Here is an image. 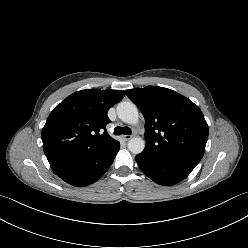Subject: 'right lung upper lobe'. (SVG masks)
<instances>
[{
    "mask_svg": "<svg viewBox=\"0 0 248 248\" xmlns=\"http://www.w3.org/2000/svg\"><path fill=\"white\" fill-rule=\"evenodd\" d=\"M124 95L122 90L85 89L58 104L42 129L47 159L86 157L115 144L106 130L107 112Z\"/></svg>",
    "mask_w": 248,
    "mask_h": 248,
    "instance_id": "right-lung-upper-lobe-1",
    "label": "right lung upper lobe"
}]
</instances>
